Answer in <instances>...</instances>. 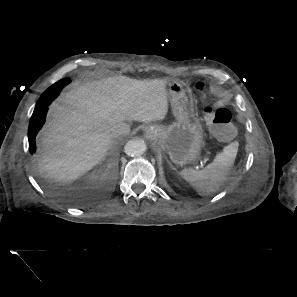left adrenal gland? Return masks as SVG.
<instances>
[{
  "label": "left adrenal gland",
  "mask_w": 297,
  "mask_h": 297,
  "mask_svg": "<svg viewBox=\"0 0 297 297\" xmlns=\"http://www.w3.org/2000/svg\"><path fill=\"white\" fill-rule=\"evenodd\" d=\"M169 164H170V167L175 170V168L172 166V164L171 163H169Z\"/></svg>",
  "instance_id": "a2214340"
}]
</instances>
